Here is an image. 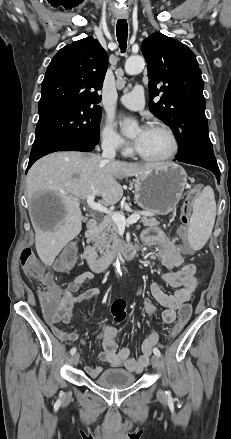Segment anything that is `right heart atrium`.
Masks as SVG:
<instances>
[{"label": "right heart atrium", "mask_w": 231, "mask_h": 439, "mask_svg": "<svg viewBox=\"0 0 231 439\" xmlns=\"http://www.w3.org/2000/svg\"><path fill=\"white\" fill-rule=\"evenodd\" d=\"M101 141L104 148L112 151H119L122 153H128L127 147L123 138L116 131L111 121H105L101 128Z\"/></svg>", "instance_id": "obj_1"}]
</instances>
